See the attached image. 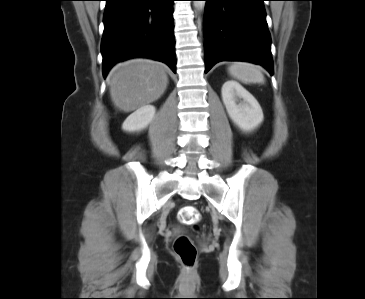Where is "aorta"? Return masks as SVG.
Returning <instances> with one entry per match:
<instances>
[{"mask_svg":"<svg viewBox=\"0 0 365 299\" xmlns=\"http://www.w3.org/2000/svg\"><path fill=\"white\" fill-rule=\"evenodd\" d=\"M194 7L202 10L205 7V1H194Z\"/></svg>","mask_w":365,"mask_h":299,"instance_id":"obj_1","label":"aorta"}]
</instances>
